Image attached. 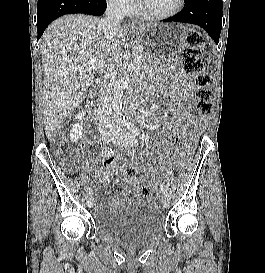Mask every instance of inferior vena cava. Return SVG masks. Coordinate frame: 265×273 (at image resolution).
<instances>
[{
  "label": "inferior vena cava",
  "mask_w": 265,
  "mask_h": 273,
  "mask_svg": "<svg viewBox=\"0 0 265 273\" xmlns=\"http://www.w3.org/2000/svg\"><path fill=\"white\" fill-rule=\"evenodd\" d=\"M126 5L122 0H110L106 9V17L99 22L106 39H111L115 31L120 26V21L125 16ZM115 71L108 68L105 72L103 82L100 87L98 99V122L101 135L112 134L116 131L117 125L112 113V86L115 80Z\"/></svg>",
  "instance_id": "obj_1"
}]
</instances>
